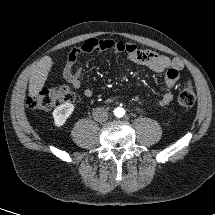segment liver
Segmentation results:
<instances>
[{"instance_id": "obj_1", "label": "liver", "mask_w": 215, "mask_h": 215, "mask_svg": "<svg viewBox=\"0 0 215 215\" xmlns=\"http://www.w3.org/2000/svg\"><path fill=\"white\" fill-rule=\"evenodd\" d=\"M53 62L51 57L44 56L35 65L29 79V96L36 97L42 90Z\"/></svg>"}]
</instances>
